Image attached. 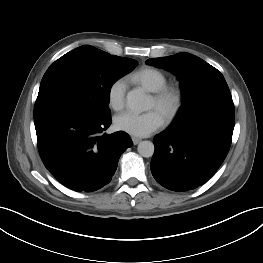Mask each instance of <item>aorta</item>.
I'll use <instances>...</instances> for the list:
<instances>
[{
	"mask_svg": "<svg viewBox=\"0 0 263 263\" xmlns=\"http://www.w3.org/2000/svg\"><path fill=\"white\" fill-rule=\"evenodd\" d=\"M126 100L127 106L135 112H143L148 109V98L139 89L129 91ZM137 150L142 157L149 158L153 156L155 147L151 141H141Z\"/></svg>",
	"mask_w": 263,
	"mask_h": 263,
	"instance_id": "762f6f07",
	"label": "aorta"
}]
</instances>
